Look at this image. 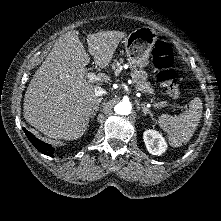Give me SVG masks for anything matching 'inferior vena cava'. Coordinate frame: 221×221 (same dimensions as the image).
I'll return each instance as SVG.
<instances>
[{"instance_id":"obj_1","label":"inferior vena cava","mask_w":221,"mask_h":221,"mask_svg":"<svg viewBox=\"0 0 221 221\" xmlns=\"http://www.w3.org/2000/svg\"><path fill=\"white\" fill-rule=\"evenodd\" d=\"M94 93H95V96L99 97V96L106 94V90L98 86L95 88Z\"/></svg>"}]
</instances>
